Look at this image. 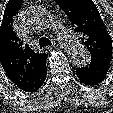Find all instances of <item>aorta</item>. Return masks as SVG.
I'll return each mask as SVG.
<instances>
[{
	"label": "aorta",
	"instance_id": "obj_1",
	"mask_svg": "<svg viewBox=\"0 0 113 113\" xmlns=\"http://www.w3.org/2000/svg\"><path fill=\"white\" fill-rule=\"evenodd\" d=\"M68 54L72 64L84 67L91 61V56L87 48L79 43H74L69 47Z\"/></svg>",
	"mask_w": 113,
	"mask_h": 113
}]
</instances>
